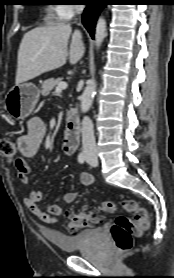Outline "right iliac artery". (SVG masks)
<instances>
[{
    "mask_svg": "<svg viewBox=\"0 0 174 278\" xmlns=\"http://www.w3.org/2000/svg\"><path fill=\"white\" fill-rule=\"evenodd\" d=\"M85 160H86L85 153L81 152V153L78 155V162H79V163H84Z\"/></svg>",
    "mask_w": 174,
    "mask_h": 278,
    "instance_id": "right-iliac-artery-1",
    "label": "right iliac artery"
}]
</instances>
